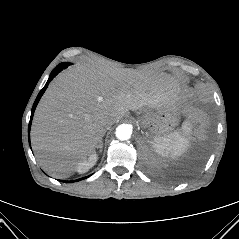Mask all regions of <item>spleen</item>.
Listing matches in <instances>:
<instances>
[{"mask_svg":"<svg viewBox=\"0 0 239 239\" xmlns=\"http://www.w3.org/2000/svg\"><path fill=\"white\" fill-rule=\"evenodd\" d=\"M192 124L185 121L182 128L164 136H159L150 141L155 152L163 157H176L183 154L189 146V135Z\"/></svg>","mask_w":239,"mask_h":239,"instance_id":"spleen-1","label":"spleen"}]
</instances>
